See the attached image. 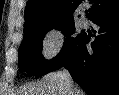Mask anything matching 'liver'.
Returning a JSON list of instances; mask_svg holds the SVG:
<instances>
[{
    "label": "liver",
    "instance_id": "6515ba94",
    "mask_svg": "<svg viewBox=\"0 0 119 95\" xmlns=\"http://www.w3.org/2000/svg\"><path fill=\"white\" fill-rule=\"evenodd\" d=\"M74 86L80 91V95H84L76 84ZM18 93L19 95H71L60 71L46 74L40 81L28 84Z\"/></svg>",
    "mask_w": 119,
    "mask_h": 95
}]
</instances>
